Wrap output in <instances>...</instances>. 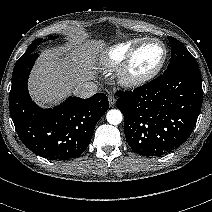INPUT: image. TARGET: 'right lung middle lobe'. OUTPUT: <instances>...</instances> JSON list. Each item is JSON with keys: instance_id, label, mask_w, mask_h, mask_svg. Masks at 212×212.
Here are the masks:
<instances>
[{"instance_id": "dd1d6c3e", "label": "right lung middle lobe", "mask_w": 212, "mask_h": 212, "mask_svg": "<svg viewBox=\"0 0 212 212\" xmlns=\"http://www.w3.org/2000/svg\"><path fill=\"white\" fill-rule=\"evenodd\" d=\"M55 38H56V36H49V39H55ZM41 42H42L41 39H38V40L34 41V42L28 47V49H27L26 52L22 55L21 58L27 56V55L30 54V53H33V51L35 50V48L37 47V45H38L39 43H41Z\"/></svg>"}]
</instances>
